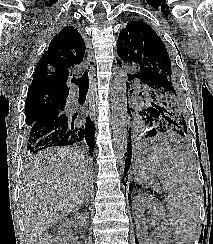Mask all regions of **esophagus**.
I'll list each match as a JSON object with an SVG mask.
<instances>
[{
    "label": "esophagus",
    "mask_w": 213,
    "mask_h": 244,
    "mask_svg": "<svg viewBox=\"0 0 213 244\" xmlns=\"http://www.w3.org/2000/svg\"><path fill=\"white\" fill-rule=\"evenodd\" d=\"M89 73L91 77V82H94V76H95V68H94V63L93 60L89 61Z\"/></svg>",
    "instance_id": "1"
}]
</instances>
